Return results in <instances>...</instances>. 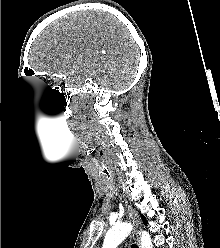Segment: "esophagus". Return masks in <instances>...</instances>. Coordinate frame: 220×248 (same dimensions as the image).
<instances>
[{
	"label": "esophagus",
	"instance_id": "esophagus-1",
	"mask_svg": "<svg viewBox=\"0 0 220 248\" xmlns=\"http://www.w3.org/2000/svg\"><path fill=\"white\" fill-rule=\"evenodd\" d=\"M127 212L129 217L133 220V224L135 225V229L133 231V237L137 241V244L140 245V237L138 232V226L140 223L139 218L131 206L127 207Z\"/></svg>",
	"mask_w": 220,
	"mask_h": 248
}]
</instances>
